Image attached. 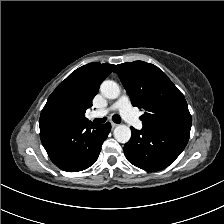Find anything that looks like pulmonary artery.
Masks as SVG:
<instances>
[{
	"instance_id": "e3ab8cb5",
	"label": "pulmonary artery",
	"mask_w": 224,
	"mask_h": 224,
	"mask_svg": "<svg viewBox=\"0 0 224 224\" xmlns=\"http://www.w3.org/2000/svg\"><path fill=\"white\" fill-rule=\"evenodd\" d=\"M118 110L122 117L128 121L133 127L141 130L143 128L142 122L138 119L133 111L128 96L122 95L109 108L99 110L95 113L96 116L106 115L110 111Z\"/></svg>"
}]
</instances>
